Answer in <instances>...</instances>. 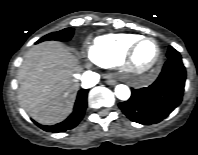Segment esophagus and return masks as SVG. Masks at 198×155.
<instances>
[{"mask_svg":"<svg viewBox=\"0 0 198 155\" xmlns=\"http://www.w3.org/2000/svg\"><path fill=\"white\" fill-rule=\"evenodd\" d=\"M106 83L108 85H115L117 83V81L114 79V77L112 75H106Z\"/></svg>","mask_w":198,"mask_h":155,"instance_id":"obj_1","label":"esophagus"}]
</instances>
